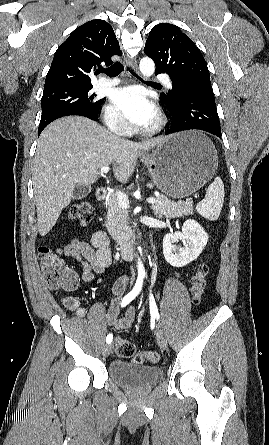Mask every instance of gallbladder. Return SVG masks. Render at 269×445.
<instances>
[{"label": "gallbladder", "instance_id": "bac80fb5", "mask_svg": "<svg viewBox=\"0 0 269 445\" xmlns=\"http://www.w3.org/2000/svg\"><path fill=\"white\" fill-rule=\"evenodd\" d=\"M91 192L90 185L77 184L73 190V199L80 200Z\"/></svg>", "mask_w": 269, "mask_h": 445}]
</instances>
